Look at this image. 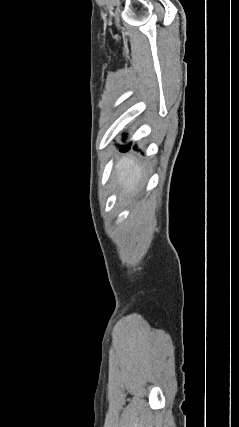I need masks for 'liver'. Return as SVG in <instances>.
Segmentation results:
<instances>
[{"mask_svg":"<svg viewBox=\"0 0 239 427\" xmlns=\"http://www.w3.org/2000/svg\"><path fill=\"white\" fill-rule=\"evenodd\" d=\"M117 184L122 192L132 193L137 190L142 178L140 166L132 159L122 157L116 163Z\"/></svg>","mask_w":239,"mask_h":427,"instance_id":"obj_1","label":"liver"}]
</instances>
